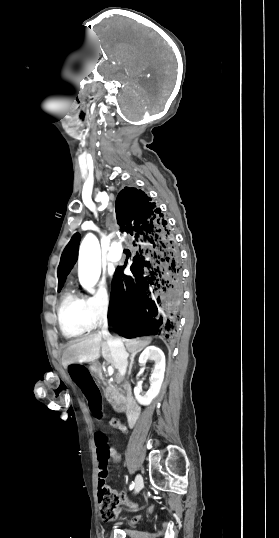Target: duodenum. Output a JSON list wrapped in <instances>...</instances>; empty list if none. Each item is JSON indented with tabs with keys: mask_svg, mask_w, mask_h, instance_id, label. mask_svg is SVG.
<instances>
[{
	"mask_svg": "<svg viewBox=\"0 0 279 538\" xmlns=\"http://www.w3.org/2000/svg\"><path fill=\"white\" fill-rule=\"evenodd\" d=\"M91 369L96 374H99L101 372V369L99 368L97 364H93L91 366ZM117 386L127 387L128 383L120 382V383H117ZM126 399L128 400L127 405H126V402H121V405H126L125 406V409L127 410L126 417L128 418V422L124 424V427H126L127 429L136 428V423L139 422V419L137 418L139 417L138 410H140V405H137V402L133 400L134 396L132 395V390H127ZM120 422H123V419H120ZM116 427H119V424H116Z\"/></svg>",
	"mask_w": 279,
	"mask_h": 538,
	"instance_id": "410a0bca",
	"label": "duodenum"
}]
</instances>
